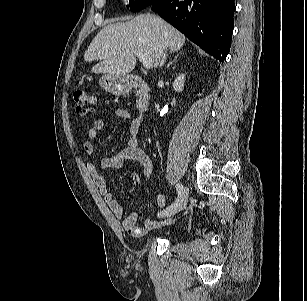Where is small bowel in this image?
<instances>
[{
	"label": "small bowel",
	"mask_w": 307,
	"mask_h": 301,
	"mask_svg": "<svg viewBox=\"0 0 307 301\" xmlns=\"http://www.w3.org/2000/svg\"><path fill=\"white\" fill-rule=\"evenodd\" d=\"M115 115L125 120L129 124L130 138L127 148L123 149L116 155L103 158L101 161V168L103 169H115L120 168L126 159L136 160L143 167V175L148 179L153 171V164L150 156L140 147L138 134L142 124V117L139 114H135L125 108H116ZM106 129V122L104 120H96L93 126L87 132V139L83 143V149L88 155L87 170L103 195L111 212L120 220L123 229L131 236L140 238L146 235L149 231L156 229L167 221H156L152 219H145L142 226L137 225L138 213L136 211L131 212L129 215L124 214V208L115 198L114 194L109 190L106 179L100 174L99 168L95 162V146L93 141L98 137L99 133ZM154 202L160 207H164L168 204V198L162 194L154 197Z\"/></svg>",
	"instance_id": "obj_1"
}]
</instances>
